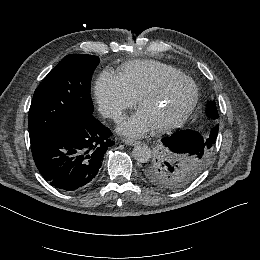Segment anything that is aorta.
Returning a JSON list of instances; mask_svg holds the SVG:
<instances>
[{"label": "aorta", "mask_w": 260, "mask_h": 260, "mask_svg": "<svg viewBox=\"0 0 260 260\" xmlns=\"http://www.w3.org/2000/svg\"><path fill=\"white\" fill-rule=\"evenodd\" d=\"M132 154L134 158L141 163H145L152 156L151 149L145 144L134 147Z\"/></svg>", "instance_id": "aorta-1"}]
</instances>
